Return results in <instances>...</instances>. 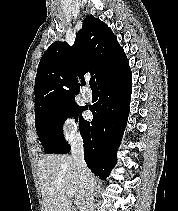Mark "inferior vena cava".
<instances>
[{"label":"inferior vena cava","mask_w":178,"mask_h":211,"mask_svg":"<svg viewBox=\"0 0 178 211\" xmlns=\"http://www.w3.org/2000/svg\"><path fill=\"white\" fill-rule=\"evenodd\" d=\"M71 154L84 186V200L81 204L80 211H93L94 178L85 163L83 155V140L79 134L75 135L72 140Z\"/></svg>","instance_id":"602c4592"}]
</instances>
